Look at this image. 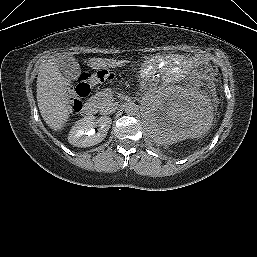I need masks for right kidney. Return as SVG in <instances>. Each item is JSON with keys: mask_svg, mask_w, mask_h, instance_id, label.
<instances>
[{"mask_svg": "<svg viewBox=\"0 0 257 257\" xmlns=\"http://www.w3.org/2000/svg\"><path fill=\"white\" fill-rule=\"evenodd\" d=\"M112 120L109 117H85L75 123L70 130L68 142L75 147H90L100 143L107 135ZM99 129L95 131V127Z\"/></svg>", "mask_w": 257, "mask_h": 257, "instance_id": "obj_1", "label": "right kidney"}]
</instances>
